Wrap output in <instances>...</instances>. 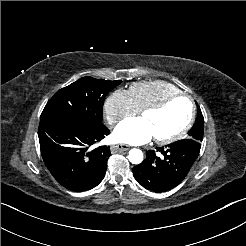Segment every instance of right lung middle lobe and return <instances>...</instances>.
<instances>
[{
  "label": "right lung middle lobe",
  "mask_w": 246,
  "mask_h": 246,
  "mask_svg": "<svg viewBox=\"0 0 246 246\" xmlns=\"http://www.w3.org/2000/svg\"><path fill=\"white\" fill-rule=\"evenodd\" d=\"M121 82L80 78L60 89L48 101L40 120L66 119L89 124L101 122L105 96Z\"/></svg>",
  "instance_id": "1"
}]
</instances>
